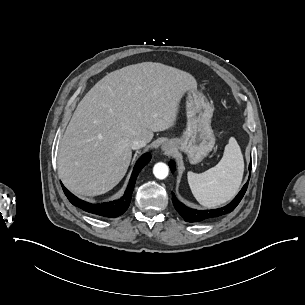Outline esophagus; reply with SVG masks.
Wrapping results in <instances>:
<instances>
[{
    "label": "esophagus",
    "mask_w": 305,
    "mask_h": 305,
    "mask_svg": "<svg viewBox=\"0 0 305 305\" xmlns=\"http://www.w3.org/2000/svg\"><path fill=\"white\" fill-rule=\"evenodd\" d=\"M161 149L163 151H165L166 153L168 154H171L174 150V146L172 143L170 142H164L162 145H161Z\"/></svg>",
    "instance_id": "1"
}]
</instances>
